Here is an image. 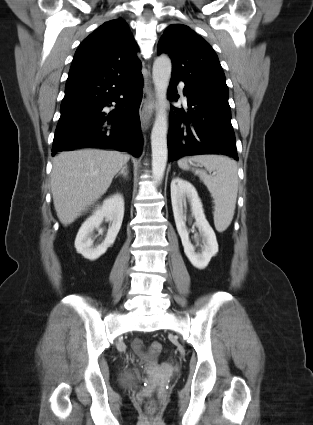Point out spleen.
Returning a JSON list of instances; mask_svg holds the SVG:
<instances>
[{"mask_svg":"<svg viewBox=\"0 0 313 425\" xmlns=\"http://www.w3.org/2000/svg\"><path fill=\"white\" fill-rule=\"evenodd\" d=\"M202 165L206 170H196L200 180L205 184L214 199V225L217 231L223 232L231 224L234 216L238 193V168L234 160L220 155H198L185 157L178 161L183 170L191 169V164ZM194 171V168H192Z\"/></svg>","mask_w":313,"mask_h":425,"instance_id":"1","label":"spleen"}]
</instances>
